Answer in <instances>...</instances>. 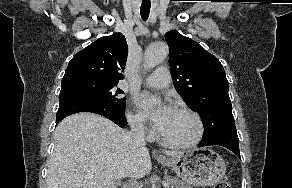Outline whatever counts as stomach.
<instances>
[{"label": "stomach", "instance_id": "stomach-1", "mask_svg": "<svg viewBox=\"0 0 292 188\" xmlns=\"http://www.w3.org/2000/svg\"><path fill=\"white\" fill-rule=\"evenodd\" d=\"M160 162L191 186L214 185L226 172L223 158L207 147L185 150L170 159H160Z\"/></svg>", "mask_w": 292, "mask_h": 188}]
</instances>
